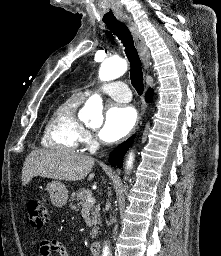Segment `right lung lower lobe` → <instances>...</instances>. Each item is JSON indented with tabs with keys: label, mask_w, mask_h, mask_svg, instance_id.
I'll return each mask as SVG.
<instances>
[{
	"label": "right lung lower lobe",
	"mask_w": 221,
	"mask_h": 256,
	"mask_svg": "<svg viewBox=\"0 0 221 256\" xmlns=\"http://www.w3.org/2000/svg\"><path fill=\"white\" fill-rule=\"evenodd\" d=\"M153 96V90L149 89L146 93V100L151 101ZM133 137L129 138L126 142H123L118 147H116L109 156V162L113 167L121 168L123 165V156L126 154L127 150L132 144Z\"/></svg>",
	"instance_id": "1"
}]
</instances>
